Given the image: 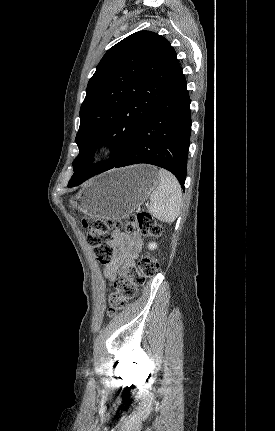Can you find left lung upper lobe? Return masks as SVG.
Masks as SVG:
<instances>
[{
  "label": "left lung upper lobe",
  "mask_w": 275,
  "mask_h": 431,
  "mask_svg": "<svg viewBox=\"0 0 275 431\" xmlns=\"http://www.w3.org/2000/svg\"><path fill=\"white\" fill-rule=\"evenodd\" d=\"M178 68L170 42L151 31L133 33L105 53L80 108L79 154L73 162V176H94L124 154ZM103 143L111 147V158L91 164Z\"/></svg>",
  "instance_id": "1"
}]
</instances>
